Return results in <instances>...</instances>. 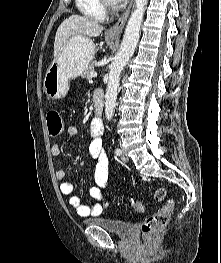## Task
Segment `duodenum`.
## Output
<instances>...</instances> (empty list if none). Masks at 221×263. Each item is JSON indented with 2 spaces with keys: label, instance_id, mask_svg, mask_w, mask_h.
Here are the masks:
<instances>
[{
  "label": "duodenum",
  "instance_id": "duodenum-1",
  "mask_svg": "<svg viewBox=\"0 0 221 263\" xmlns=\"http://www.w3.org/2000/svg\"><path fill=\"white\" fill-rule=\"evenodd\" d=\"M93 103H94V117L93 124L97 129H102V112L104 107V96L101 92L96 91L93 94Z\"/></svg>",
  "mask_w": 221,
  "mask_h": 263
}]
</instances>
